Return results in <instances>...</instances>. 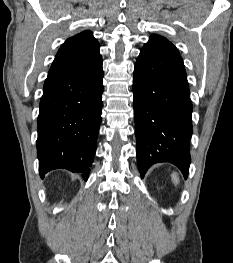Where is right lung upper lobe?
<instances>
[{"instance_id": "cb5924a9", "label": "right lung upper lobe", "mask_w": 233, "mask_h": 263, "mask_svg": "<svg viewBox=\"0 0 233 263\" xmlns=\"http://www.w3.org/2000/svg\"><path fill=\"white\" fill-rule=\"evenodd\" d=\"M99 43L91 31L68 38L59 48L48 76L81 75L92 71L101 60Z\"/></svg>"}]
</instances>
